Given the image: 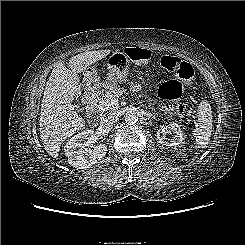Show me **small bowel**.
<instances>
[{
	"instance_id": "small-bowel-1",
	"label": "small bowel",
	"mask_w": 245,
	"mask_h": 245,
	"mask_svg": "<svg viewBox=\"0 0 245 245\" xmlns=\"http://www.w3.org/2000/svg\"><path fill=\"white\" fill-rule=\"evenodd\" d=\"M130 88H131L132 91L137 92V91H139L140 86H139L138 83L133 82V83H131Z\"/></svg>"
}]
</instances>
